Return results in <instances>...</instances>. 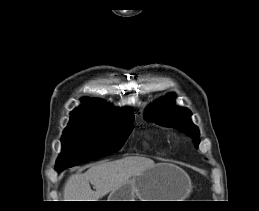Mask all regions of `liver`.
Instances as JSON below:
<instances>
[{"instance_id":"6515ba94","label":"liver","mask_w":259,"mask_h":211,"mask_svg":"<svg viewBox=\"0 0 259 211\" xmlns=\"http://www.w3.org/2000/svg\"><path fill=\"white\" fill-rule=\"evenodd\" d=\"M154 165L153 160L140 156L95 164L85 173L69 176L63 189L64 201H98L134 175ZM90 184L95 190L91 189Z\"/></svg>"}]
</instances>
